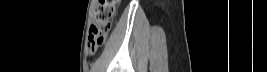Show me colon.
Instances as JSON below:
<instances>
[{
	"label": "colon",
	"instance_id": "1",
	"mask_svg": "<svg viewBox=\"0 0 267 72\" xmlns=\"http://www.w3.org/2000/svg\"><path fill=\"white\" fill-rule=\"evenodd\" d=\"M119 0H100L94 10V23L89 30L88 42L92 48L103 45L116 15Z\"/></svg>",
	"mask_w": 267,
	"mask_h": 72
}]
</instances>
